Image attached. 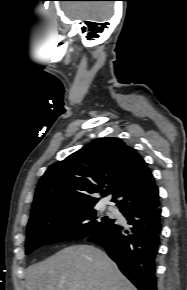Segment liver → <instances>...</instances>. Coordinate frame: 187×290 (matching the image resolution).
Listing matches in <instances>:
<instances>
[{
    "mask_svg": "<svg viewBox=\"0 0 187 290\" xmlns=\"http://www.w3.org/2000/svg\"><path fill=\"white\" fill-rule=\"evenodd\" d=\"M27 290H137L117 265L92 245H73L30 266Z\"/></svg>",
    "mask_w": 187,
    "mask_h": 290,
    "instance_id": "6515ba94",
    "label": "liver"
}]
</instances>
